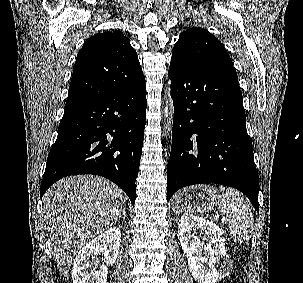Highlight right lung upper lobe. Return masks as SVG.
Returning <instances> with one entry per match:
<instances>
[{"label": "right lung upper lobe", "instance_id": "right-lung-upper-lobe-1", "mask_svg": "<svg viewBox=\"0 0 303 283\" xmlns=\"http://www.w3.org/2000/svg\"><path fill=\"white\" fill-rule=\"evenodd\" d=\"M143 77L137 53L123 33L96 34L77 55L65 108L115 93Z\"/></svg>", "mask_w": 303, "mask_h": 283}]
</instances>
